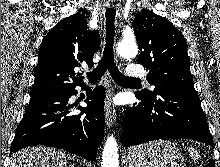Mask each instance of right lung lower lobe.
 Listing matches in <instances>:
<instances>
[{
    "instance_id": "98d812e1",
    "label": "right lung lower lobe",
    "mask_w": 220,
    "mask_h": 167,
    "mask_svg": "<svg viewBox=\"0 0 220 167\" xmlns=\"http://www.w3.org/2000/svg\"><path fill=\"white\" fill-rule=\"evenodd\" d=\"M79 86H84V83ZM76 94L74 86L31 96L16 129L10 154L42 144L95 161L98 146L104 137L105 90L102 86L96 87L85 100L88 106H79L81 113L73 115L71 109L74 105H69L68 100Z\"/></svg>"
}]
</instances>
